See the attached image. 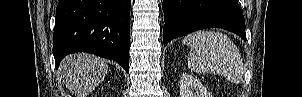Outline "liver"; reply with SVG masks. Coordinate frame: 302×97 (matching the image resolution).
<instances>
[{"label":"liver","mask_w":302,"mask_h":97,"mask_svg":"<svg viewBox=\"0 0 302 97\" xmlns=\"http://www.w3.org/2000/svg\"><path fill=\"white\" fill-rule=\"evenodd\" d=\"M59 71L66 87L75 97H86L105 78L108 63L100 57L78 53L66 56Z\"/></svg>","instance_id":"6515ba94"}]
</instances>
